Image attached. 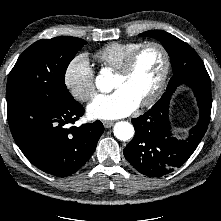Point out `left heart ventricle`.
I'll list each match as a JSON object with an SVG mask.
<instances>
[{"label":"left heart ventricle","instance_id":"1","mask_svg":"<svg viewBox=\"0 0 221 221\" xmlns=\"http://www.w3.org/2000/svg\"><path fill=\"white\" fill-rule=\"evenodd\" d=\"M163 64L162 53L157 48H148L140 54L129 75L116 73L113 88L126 91L140 104L154 92L162 74Z\"/></svg>","mask_w":221,"mask_h":221}]
</instances>
